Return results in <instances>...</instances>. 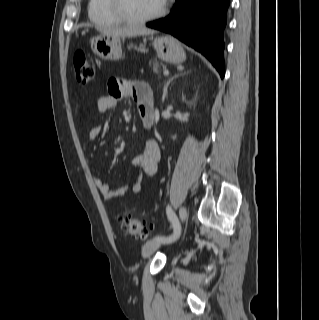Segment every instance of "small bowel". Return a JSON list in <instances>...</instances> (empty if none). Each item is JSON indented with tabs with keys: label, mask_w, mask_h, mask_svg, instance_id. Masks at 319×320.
Instances as JSON below:
<instances>
[{
	"label": "small bowel",
	"mask_w": 319,
	"mask_h": 320,
	"mask_svg": "<svg viewBox=\"0 0 319 320\" xmlns=\"http://www.w3.org/2000/svg\"><path fill=\"white\" fill-rule=\"evenodd\" d=\"M133 98L138 111L142 109H154L152 93L149 86L142 81H128L113 78L108 84V94L101 96L96 103L99 113L113 110L123 98ZM101 133V127L93 126L87 133L86 141H94ZM160 148L156 141L147 140L141 153L132 159V165L139 170L135 180L119 188L112 189L110 185L100 177H95L94 182L105 200H113L131 191L138 195L142 190L141 177L143 174L155 175L160 161Z\"/></svg>",
	"instance_id": "c3829d8e"
}]
</instances>
